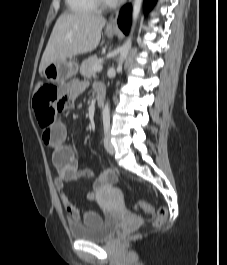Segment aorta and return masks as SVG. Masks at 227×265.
I'll list each match as a JSON object with an SVG mask.
<instances>
[{
  "mask_svg": "<svg viewBox=\"0 0 227 265\" xmlns=\"http://www.w3.org/2000/svg\"><path fill=\"white\" fill-rule=\"evenodd\" d=\"M143 0H134L133 2V12H132V26H131V31L128 36L127 41L123 44L121 47V52H120V58H119V63H118V69L122 68L123 62L126 59L129 50L131 48V43H132V37L134 33V29L136 26V22L141 10ZM102 118L104 122H108L110 120V108H109V103H106L103 109L102 113Z\"/></svg>",
  "mask_w": 227,
  "mask_h": 265,
  "instance_id": "762f6f07",
  "label": "aorta"
}]
</instances>
